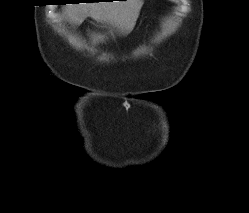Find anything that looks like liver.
I'll list each match as a JSON object with an SVG mask.
<instances>
[{
    "instance_id": "liver-1",
    "label": "liver",
    "mask_w": 249,
    "mask_h": 213,
    "mask_svg": "<svg viewBox=\"0 0 249 213\" xmlns=\"http://www.w3.org/2000/svg\"><path fill=\"white\" fill-rule=\"evenodd\" d=\"M143 3L144 0H127L71 4L64 8V13L72 24L80 25L86 17H91L98 23L110 25L128 35L135 27ZM93 37L97 41L105 38L100 34Z\"/></svg>"
}]
</instances>
